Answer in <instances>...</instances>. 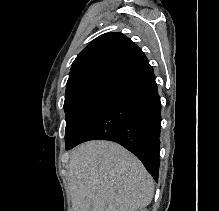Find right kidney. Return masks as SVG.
Listing matches in <instances>:
<instances>
[{"label":"right kidney","mask_w":219,"mask_h":211,"mask_svg":"<svg viewBox=\"0 0 219 211\" xmlns=\"http://www.w3.org/2000/svg\"><path fill=\"white\" fill-rule=\"evenodd\" d=\"M142 211H147V209H142Z\"/></svg>","instance_id":"right-kidney-1"}]
</instances>
